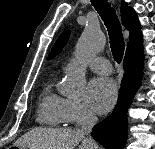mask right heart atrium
Instances as JSON below:
<instances>
[{"label":"right heart atrium","instance_id":"obj_1","mask_svg":"<svg viewBox=\"0 0 155 149\" xmlns=\"http://www.w3.org/2000/svg\"><path fill=\"white\" fill-rule=\"evenodd\" d=\"M66 122L76 126L92 124L96 121L94 114L82 103L66 99Z\"/></svg>","mask_w":155,"mask_h":149}]
</instances>
